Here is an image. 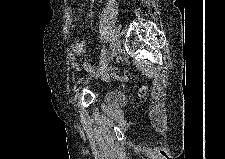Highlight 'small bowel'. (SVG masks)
<instances>
[{
    "label": "small bowel",
    "mask_w": 225,
    "mask_h": 159,
    "mask_svg": "<svg viewBox=\"0 0 225 159\" xmlns=\"http://www.w3.org/2000/svg\"><path fill=\"white\" fill-rule=\"evenodd\" d=\"M87 44L85 41H76L70 51L69 57L74 66H77L76 59L86 53Z\"/></svg>",
    "instance_id": "1"
}]
</instances>
